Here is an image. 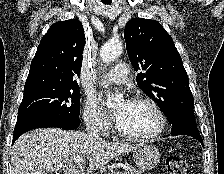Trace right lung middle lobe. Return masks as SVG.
Returning <instances> with one entry per match:
<instances>
[{
  "mask_svg": "<svg viewBox=\"0 0 224 174\" xmlns=\"http://www.w3.org/2000/svg\"><path fill=\"white\" fill-rule=\"evenodd\" d=\"M79 88L45 89L24 94L18 109L21 116H39L48 119H79Z\"/></svg>",
  "mask_w": 224,
  "mask_h": 174,
  "instance_id": "right-lung-middle-lobe-1",
  "label": "right lung middle lobe"
}]
</instances>
